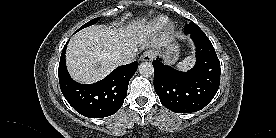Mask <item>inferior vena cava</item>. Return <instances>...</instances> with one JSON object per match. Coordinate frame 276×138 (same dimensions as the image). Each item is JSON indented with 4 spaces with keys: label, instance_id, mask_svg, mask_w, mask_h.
Here are the masks:
<instances>
[{
    "label": "inferior vena cava",
    "instance_id": "obj_1",
    "mask_svg": "<svg viewBox=\"0 0 276 138\" xmlns=\"http://www.w3.org/2000/svg\"><path fill=\"white\" fill-rule=\"evenodd\" d=\"M137 49L125 48L116 54V61L119 64H129L134 61Z\"/></svg>",
    "mask_w": 276,
    "mask_h": 138
}]
</instances>
